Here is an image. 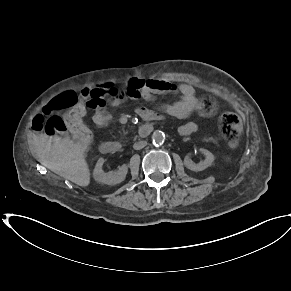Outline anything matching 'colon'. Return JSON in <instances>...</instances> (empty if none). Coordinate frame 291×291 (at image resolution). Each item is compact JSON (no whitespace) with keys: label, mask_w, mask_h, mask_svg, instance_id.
Listing matches in <instances>:
<instances>
[{"label":"colon","mask_w":291,"mask_h":291,"mask_svg":"<svg viewBox=\"0 0 291 291\" xmlns=\"http://www.w3.org/2000/svg\"><path fill=\"white\" fill-rule=\"evenodd\" d=\"M90 97L89 91H84L78 95L73 91H64L55 96L50 102H45L43 111L35 116L33 127L43 130L47 135L69 132L76 145L86 148L92 141V134L83 122V115L86 107L83 106L85 100ZM192 107L199 105L197 98L188 101ZM214 109V102L211 98H204L200 103V110L204 115H208ZM56 113H63L57 115ZM220 129L230 143H236L242 130V123L239 117L232 112H225L219 118Z\"/></svg>","instance_id":"colon-1"}]
</instances>
